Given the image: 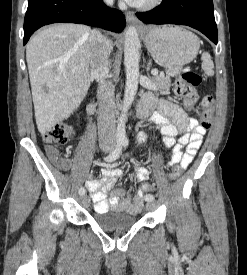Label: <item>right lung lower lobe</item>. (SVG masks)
Returning <instances> with one entry per match:
<instances>
[{"label": "right lung lower lobe", "instance_id": "right-lung-lower-lobe-1", "mask_svg": "<svg viewBox=\"0 0 247 275\" xmlns=\"http://www.w3.org/2000/svg\"><path fill=\"white\" fill-rule=\"evenodd\" d=\"M57 22H70L121 32L125 16L102 0H29L24 19V45L40 27Z\"/></svg>", "mask_w": 247, "mask_h": 275}]
</instances>
